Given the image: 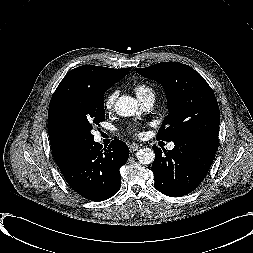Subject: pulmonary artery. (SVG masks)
I'll return each instance as SVG.
<instances>
[{
    "instance_id": "obj_1",
    "label": "pulmonary artery",
    "mask_w": 253,
    "mask_h": 253,
    "mask_svg": "<svg viewBox=\"0 0 253 253\" xmlns=\"http://www.w3.org/2000/svg\"><path fill=\"white\" fill-rule=\"evenodd\" d=\"M154 102H155V98L150 97V98L142 101L141 103H142L143 109L146 110V111H148V110H150L153 107ZM173 148H174V143H169L168 144V149L172 150Z\"/></svg>"
}]
</instances>
